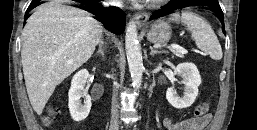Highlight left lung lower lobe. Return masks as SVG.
<instances>
[{
	"label": "left lung lower lobe",
	"instance_id": "1",
	"mask_svg": "<svg viewBox=\"0 0 257 130\" xmlns=\"http://www.w3.org/2000/svg\"><path fill=\"white\" fill-rule=\"evenodd\" d=\"M201 5L205 9L212 11L214 15L222 22L224 25V17L221 7L219 6L218 0H171L162 9L155 11L149 20L158 19L160 17L171 14L173 11L192 6ZM225 33V28L223 27Z\"/></svg>",
	"mask_w": 257,
	"mask_h": 130
}]
</instances>
